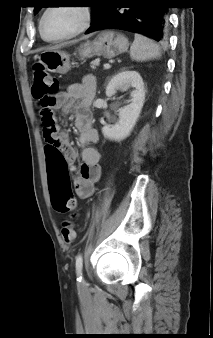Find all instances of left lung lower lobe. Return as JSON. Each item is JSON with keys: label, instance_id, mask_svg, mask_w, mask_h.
Here are the masks:
<instances>
[{"label": "left lung lower lobe", "instance_id": "1", "mask_svg": "<svg viewBox=\"0 0 213 338\" xmlns=\"http://www.w3.org/2000/svg\"><path fill=\"white\" fill-rule=\"evenodd\" d=\"M104 29L140 33L164 43L168 36L167 7L162 0H102L86 34Z\"/></svg>", "mask_w": 213, "mask_h": 338}]
</instances>
